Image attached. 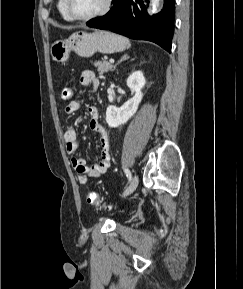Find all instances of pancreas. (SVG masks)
Returning <instances> with one entry per match:
<instances>
[{"instance_id":"obj_1","label":"pancreas","mask_w":243,"mask_h":289,"mask_svg":"<svg viewBox=\"0 0 243 289\" xmlns=\"http://www.w3.org/2000/svg\"><path fill=\"white\" fill-rule=\"evenodd\" d=\"M94 66L98 68V72L100 75L110 71L112 69V64L107 62L106 60L103 61H96Z\"/></svg>"}]
</instances>
